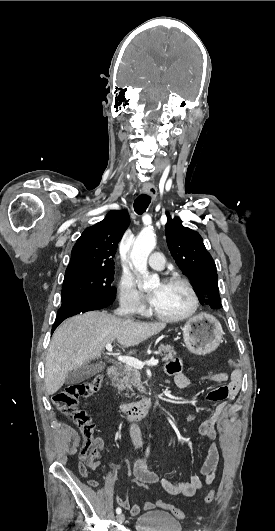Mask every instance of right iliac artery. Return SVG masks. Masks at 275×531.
I'll return each mask as SVG.
<instances>
[{
  "instance_id": "right-iliac-artery-1",
  "label": "right iliac artery",
  "mask_w": 275,
  "mask_h": 531,
  "mask_svg": "<svg viewBox=\"0 0 275 531\" xmlns=\"http://www.w3.org/2000/svg\"><path fill=\"white\" fill-rule=\"evenodd\" d=\"M148 453H149V448H147L146 455H148ZM116 513H117V514H120V513H121V509H120V508H117V509H116Z\"/></svg>"
}]
</instances>
